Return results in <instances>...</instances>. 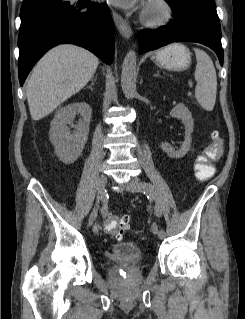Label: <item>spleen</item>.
<instances>
[{
  "mask_svg": "<svg viewBox=\"0 0 245 319\" xmlns=\"http://www.w3.org/2000/svg\"><path fill=\"white\" fill-rule=\"evenodd\" d=\"M196 55V69L194 73L197 85L195 97L206 111H212L216 102L217 75L212 59L198 48H194Z\"/></svg>",
  "mask_w": 245,
  "mask_h": 319,
  "instance_id": "spleen-1",
  "label": "spleen"
}]
</instances>
